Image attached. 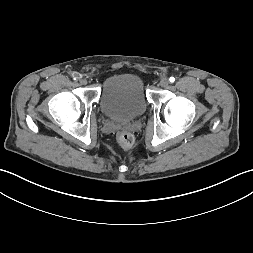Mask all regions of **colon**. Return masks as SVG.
Listing matches in <instances>:
<instances>
[{
  "label": "colon",
  "instance_id": "obj_1",
  "mask_svg": "<svg viewBox=\"0 0 253 253\" xmlns=\"http://www.w3.org/2000/svg\"><path fill=\"white\" fill-rule=\"evenodd\" d=\"M117 138L119 143L125 148H130L134 144V137L129 132L121 131L118 133Z\"/></svg>",
  "mask_w": 253,
  "mask_h": 253
}]
</instances>
